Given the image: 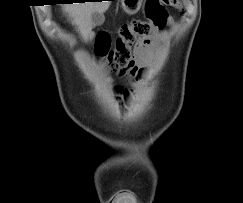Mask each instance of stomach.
Returning a JSON list of instances; mask_svg holds the SVG:
<instances>
[{
	"mask_svg": "<svg viewBox=\"0 0 243 203\" xmlns=\"http://www.w3.org/2000/svg\"><path fill=\"white\" fill-rule=\"evenodd\" d=\"M143 0H121L122 9L127 14H135L141 8Z\"/></svg>",
	"mask_w": 243,
	"mask_h": 203,
	"instance_id": "0dacf381",
	"label": "stomach"
}]
</instances>
